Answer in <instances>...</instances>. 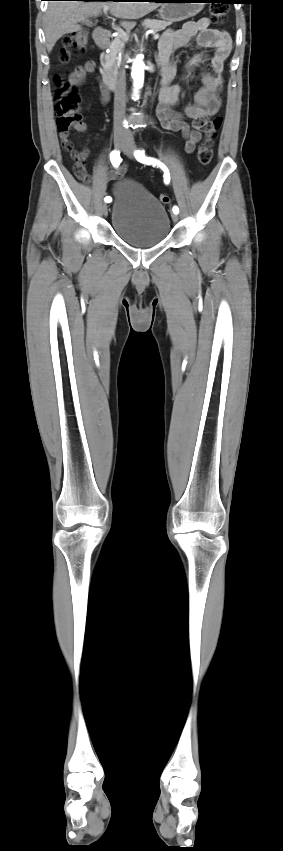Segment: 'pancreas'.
Segmentation results:
<instances>
[{"label":"pancreas","mask_w":283,"mask_h":851,"mask_svg":"<svg viewBox=\"0 0 283 851\" xmlns=\"http://www.w3.org/2000/svg\"><path fill=\"white\" fill-rule=\"evenodd\" d=\"M143 25L146 28L158 32L166 29V27L169 26L170 23L160 20H146ZM125 42L126 39H123L120 36L116 37L114 41L110 44L109 53L103 54L100 58L101 65L104 70L116 68V66L121 63V56H119V54L123 53Z\"/></svg>","instance_id":"pancreas-1"}]
</instances>
